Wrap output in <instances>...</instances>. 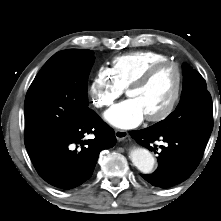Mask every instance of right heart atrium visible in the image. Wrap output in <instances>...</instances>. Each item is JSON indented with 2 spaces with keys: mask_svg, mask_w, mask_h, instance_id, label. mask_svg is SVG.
<instances>
[{
  "mask_svg": "<svg viewBox=\"0 0 221 221\" xmlns=\"http://www.w3.org/2000/svg\"><path fill=\"white\" fill-rule=\"evenodd\" d=\"M124 89L116 82L109 69L100 67L89 86L92 104L99 109L110 107L123 94Z\"/></svg>",
  "mask_w": 221,
  "mask_h": 221,
  "instance_id": "right-heart-atrium-1",
  "label": "right heart atrium"
}]
</instances>
